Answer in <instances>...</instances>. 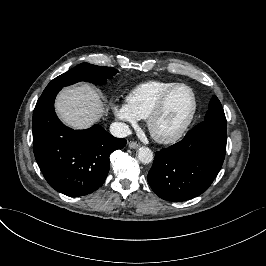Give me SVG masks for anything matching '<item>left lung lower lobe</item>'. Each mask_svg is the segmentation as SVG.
I'll use <instances>...</instances> for the list:
<instances>
[{
	"instance_id": "obj_1",
	"label": "left lung lower lobe",
	"mask_w": 266,
	"mask_h": 266,
	"mask_svg": "<svg viewBox=\"0 0 266 266\" xmlns=\"http://www.w3.org/2000/svg\"><path fill=\"white\" fill-rule=\"evenodd\" d=\"M226 132L192 128L178 143L156 152L147 179L162 199L182 202L201 195L220 171Z\"/></svg>"
}]
</instances>
